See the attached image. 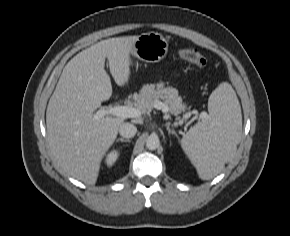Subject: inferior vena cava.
I'll use <instances>...</instances> for the list:
<instances>
[{
  "mask_svg": "<svg viewBox=\"0 0 290 236\" xmlns=\"http://www.w3.org/2000/svg\"><path fill=\"white\" fill-rule=\"evenodd\" d=\"M137 128L131 123H123L119 127V133L124 138H131L135 136Z\"/></svg>",
  "mask_w": 290,
  "mask_h": 236,
  "instance_id": "inferior-vena-cava-1",
  "label": "inferior vena cava"
}]
</instances>
